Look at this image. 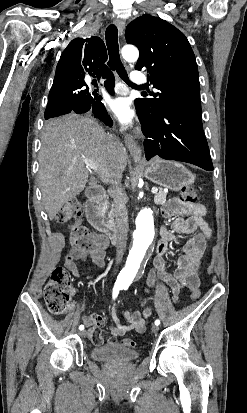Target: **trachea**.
<instances>
[{
	"mask_svg": "<svg viewBox=\"0 0 247 413\" xmlns=\"http://www.w3.org/2000/svg\"><path fill=\"white\" fill-rule=\"evenodd\" d=\"M105 38L109 52L108 66L112 70H116L122 80H124V82H126L129 86H132V88H136L137 90H143L145 88L144 85H135V83H132L129 80L126 70L120 60L118 30L115 25H109V27L106 29Z\"/></svg>",
	"mask_w": 247,
	"mask_h": 413,
	"instance_id": "trachea-1",
	"label": "trachea"
}]
</instances>
